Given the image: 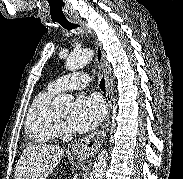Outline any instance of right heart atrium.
Returning a JSON list of instances; mask_svg holds the SVG:
<instances>
[{"instance_id":"obj_1","label":"right heart atrium","mask_w":183,"mask_h":179,"mask_svg":"<svg viewBox=\"0 0 183 179\" xmlns=\"http://www.w3.org/2000/svg\"><path fill=\"white\" fill-rule=\"evenodd\" d=\"M59 129H62V125L61 124H59Z\"/></svg>"}]
</instances>
